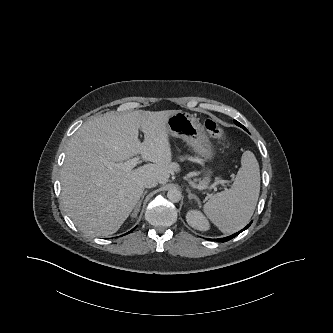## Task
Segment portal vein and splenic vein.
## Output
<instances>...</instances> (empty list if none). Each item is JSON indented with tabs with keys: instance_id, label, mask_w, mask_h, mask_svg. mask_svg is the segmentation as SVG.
<instances>
[{
	"instance_id": "obj_1",
	"label": "portal vein and splenic vein",
	"mask_w": 333,
	"mask_h": 333,
	"mask_svg": "<svg viewBox=\"0 0 333 333\" xmlns=\"http://www.w3.org/2000/svg\"><path fill=\"white\" fill-rule=\"evenodd\" d=\"M139 161H140V157H134V158L129 159L128 161H126L124 163L117 164L116 166L118 168L122 169V170L130 171V170H132L139 163ZM190 185L193 188H196V189H199V190H203V189L207 188V186L196 185L193 182H190ZM211 188L215 189V186H211Z\"/></svg>"
}]
</instances>
